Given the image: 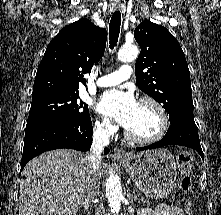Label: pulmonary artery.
Returning a JSON list of instances; mask_svg holds the SVG:
<instances>
[{"label": "pulmonary artery", "instance_id": "1", "mask_svg": "<svg viewBox=\"0 0 221 215\" xmlns=\"http://www.w3.org/2000/svg\"><path fill=\"white\" fill-rule=\"evenodd\" d=\"M132 75V68L129 65L121 66L117 71L107 74L105 76L99 77L96 80V86L98 87H108L118 85L121 82L128 80Z\"/></svg>", "mask_w": 221, "mask_h": 215}]
</instances>
